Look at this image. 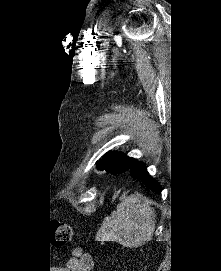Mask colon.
Masks as SVG:
<instances>
[{"label": "colon", "instance_id": "obj_1", "mask_svg": "<svg viewBox=\"0 0 221 271\" xmlns=\"http://www.w3.org/2000/svg\"><path fill=\"white\" fill-rule=\"evenodd\" d=\"M53 234L54 242L57 246H61L72 241L74 230L70 223H55Z\"/></svg>", "mask_w": 221, "mask_h": 271}]
</instances>
